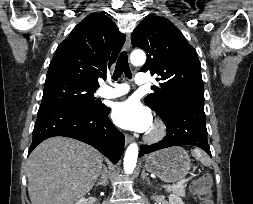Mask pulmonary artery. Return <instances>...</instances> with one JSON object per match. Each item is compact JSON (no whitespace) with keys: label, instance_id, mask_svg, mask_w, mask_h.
I'll return each instance as SVG.
<instances>
[{"label":"pulmonary artery","instance_id":"pulmonary-artery-1","mask_svg":"<svg viewBox=\"0 0 253 204\" xmlns=\"http://www.w3.org/2000/svg\"><path fill=\"white\" fill-rule=\"evenodd\" d=\"M111 84V82H109ZM135 83L139 86H145L149 83L147 74L137 73L135 75ZM129 85L127 83L104 85L99 89L98 94L104 98H116L125 95L129 92Z\"/></svg>","mask_w":253,"mask_h":204}]
</instances>
